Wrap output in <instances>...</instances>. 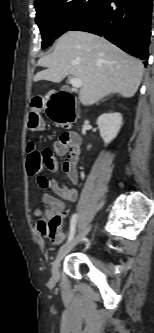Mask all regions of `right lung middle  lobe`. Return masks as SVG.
<instances>
[{
	"label": "right lung middle lobe",
	"instance_id": "obj_1",
	"mask_svg": "<svg viewBox=\"0 0 154 333\" xmlns=\"http://www.w3.org/2000/svg\"><path fill=\"white\" fill-rule=\"evenodd\" d=\"M100 0H39L35 2L36 23L42 34V48L88 17Z\"/></svg>",
	"mask_w": 154,
	"mask_h": 333
}]
</instances>
